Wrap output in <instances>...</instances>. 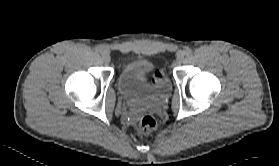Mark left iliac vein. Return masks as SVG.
Returning <instances> with one entry per match:
<instances>
[{
	"mask_svg": "<svg viewBox=\"0 0 279 166\" xmlns=\"http://www.w3.org/2000/svg\"><path fill=\"white\" fill-rule=\"evenodd\" d=\"M184 60V53L183 52H179L177 55V63H182Z\"/></svg>",
	"mask_w": 279,
	"mask_h": 166,
	"instance_id": "4c4485c4",
	"label": "left iliac vein"
}]
</instances>
